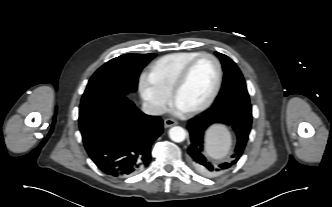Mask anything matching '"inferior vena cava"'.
Here are the masks:
<instances>
[{"mask_svg":"<svg viewBox=\"0 0 332 207\" xmlns=\"http://www.w3.org/2000/svg\"><path fill=\"white\" fill-rule=\"evenodd\" d=\"M142 111L148 115H162L165 113V109L161 106L144 102L142 105Z\"/></svg>","mask_w":332,"mask_h":207,"instance_id":"602c4592","label":"inferior vena cava"}]
</instances>
